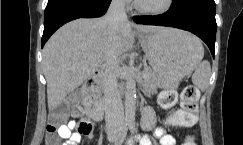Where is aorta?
Segmentation results:
<instances>
[{
    "label": "aorta",
    "instance_id": "762f6f07",
    "mask_svg": "<svg viewBox=\"0 0 243 145\" xmlns=\"http://www.w3.org/2000/svg\"><path fill=\"white\" fill-rule=\"evenodd\" d=\"M136 110V82L133 75H129L125 86V118L128 122L135 120Z\"/></svg>",
    "mask_w": 243,
    "mask_h": 145
}]
</instances>
